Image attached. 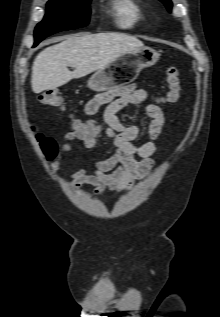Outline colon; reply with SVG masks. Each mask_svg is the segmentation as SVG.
<instances>
[{"label": "colon", "mask_w": 220, "mask_h": 317, "mask_svg": "<svg viewBox=\"0 0 220 317\" xmlns=\"http://www.w3.org/2000/svg\"><path fill=\"white\" fill-rule=\"evenodd\" d=\"M166 83L167 91L164 101L167 103L176 102L181 91L180 74L177 68L171 67L167 69ZM40 102L48 107H59L63 104V98L57 91L47 90L41 95ZM35 140L46 160L51 161L57 156L58 143L53 137L38 132L35 134Z\"/></svg>", "instance_id": "obj_1"}]
</instances>
